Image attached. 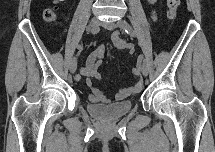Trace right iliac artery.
I'll list each match as a JSON object with an SVG mask.
<instances>
[{"label": "right iliac artery", "instance_id": "right-iliac-artery-1", "mask_svg": "<svg viewBox=\"0 0 215 152\" xmlns=\"http://www.w3.org/2000/svg\"><path fill=\"white\" fill-rule=\"evenodd\" d=\"M99 31H100V28L98 26L91 29V33L94 35L97 34ZM77 48L81 49V45H78Z\"/></svg>", "mask_w": 215, "mask_h": 152}]
</instances>
